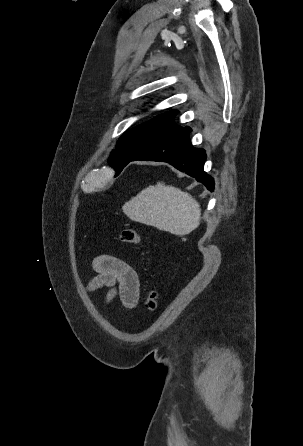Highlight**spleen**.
Listing matches in <instances>:
<instances>
[{
    "instance_id": "3e777b00",
    "label": "spleen",
    "mask_w": 303,
    "mask_h": 446,
    "mask_svg": "<svg viewBox=\"0 0 303 446\" xmlns=\"http://www.w3.org/2000/svg\"><path fill=\"white\" fill-rule=\"evenodd\" d=\"M122 210L135 222L179 236L195 230L201 219L200 205L190 194L162 182L143 189Z\"/></svg>"
}]
</instances>
